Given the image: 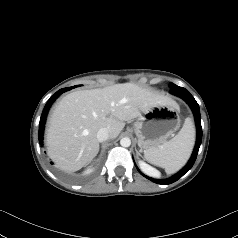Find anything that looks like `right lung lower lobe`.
Wrapping results in <instances>:
<instances>
[{
	"instance_id": "98d812e1",
	"label": "right lung lower lobe",
	"mask_w": 238,
	"mask_h": 238,
	"mask_svg": "<svg viewBox=\"0 0 238 238\" xmlns=\"http://www.w3.org/2000/svg\"><path fill=\"white\" fill-rule=\"evenodd\" d=\"M74 87H76V86H74ZM74 87H67V88L60 89L46 103V105L43 109L41 118H40V123H39V136H38V138H39L40 144H43L44 124H45V121H46V117H47V113L49 111V108L51 107L52 103L59 97V95H61L65 91L71 90Z\"/></svg>"
}]
</instances>
